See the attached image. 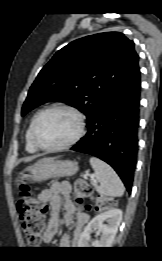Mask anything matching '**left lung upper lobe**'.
<instances>
[{
	"label": "left lung upper lobe",
	"instance_id": "5c2ea615",
	"mask_svg": "<svg viewBox=\"0 0 162 261\" xmlns=\"http://www.w3.org/2000/svg\"><path fill=\"white\" fill-rule=\"evenodd\" d=\"M133 41L120 32L77 39L60 49L29 89L22 116L47 101H65L87 119L123 81L139 69Z\"/></svg>",
	"mask_w": 162,
	"mask_h": 261
}]
</instances>
